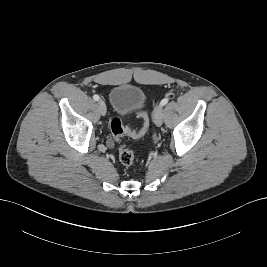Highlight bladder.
<instances>
[{"label": "bladder", "instance_id": "obj_1", "mask_svg": "<svg viewBox=\"0 0 267 267\" xmlns=\"http://www.w3.org/2000/svg\"><path fill=\"white\" fill-rule=\"evenodd\" d=\"M112 110L122 116L142 109L146 104L144 91L134 85L120 84L113 87L109 93Z\"/></svg>", "mask_w": 267, "mask_h": 267}]
</instances>
